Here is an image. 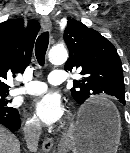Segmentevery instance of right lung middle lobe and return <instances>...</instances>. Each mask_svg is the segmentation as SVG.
I'll return each instance as SVG.
<instances>
[{"mask_svg":"<svg viewBox=\"0 0 130 153\" xmlns=\"http://www.w3.org/2000/svg\"><path fill=\"white\" fill-rule=\"evenodd\" d=\"M7 95L8 91H0V108L6 109L8 111H15L16 109L7 106V104L11 102V100L9 101L6 99Z\"/></svg>","mask_w":130,"mask_h":153,"instance_id":"1","label":"right lung middle lobe"}]
</instances>
